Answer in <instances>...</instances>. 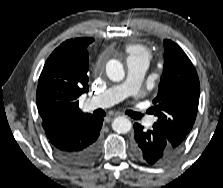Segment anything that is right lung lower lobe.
Here are the masks:
<instances>
[{"mask_svg": "<svg viewBox=\"0 0 223 188\" xmlns=\"http://www.w3.org/2000/svg\"><path fill=\"white\" fill-rule=\"evenodd\" d=\"M103 118H89L80 123L46 131L55 154L66 164L83 167L99 154V133Z\"/></svg>", "mask_w": 223, "mask_h": 188, "instance_id": "1", "label": "right lung lower lobe"}]
</instances>
